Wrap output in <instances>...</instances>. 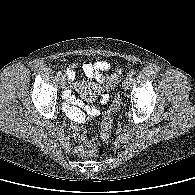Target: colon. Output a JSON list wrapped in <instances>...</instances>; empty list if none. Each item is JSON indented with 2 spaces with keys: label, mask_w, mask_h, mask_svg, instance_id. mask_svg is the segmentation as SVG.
<instances>
[{
  "label": "colon",
  "mask_w": 195,
  "mask_h": 195,
  "mask_svg": "<svg viewBox=\"0 0 195 195\" xmlns=\"http://www.w3.org/2000/svg\"><path fill=\"white\" fill-rule=\"evenodd\" d=\"M120 106V97L116 95L114 101L112 102L109 110L103 118L101 125V140L105 141L108 139L110 134V129L112 125V115L115 113ZM74 137L77 141H86V131L79 126H74ZM96 142L97 139L86 141L85 145L78 147L77 151L81 156L93 157L96 154Z\"/></svg>",
  "instance_id": "5ec220e1"
}]
</instances>
